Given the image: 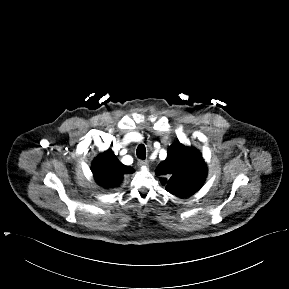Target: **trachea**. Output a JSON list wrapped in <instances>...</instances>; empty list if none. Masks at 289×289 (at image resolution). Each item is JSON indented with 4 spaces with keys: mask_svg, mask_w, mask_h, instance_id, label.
<instances>
[{
    "mask_svg": "<svg viewBox=\"0 0 289 289\" xmlns=\"http://www.w3.org/2000/svg\"><path fill=\"white\" fill-rule=\"evenodd\" d=\"M136 155H137L138 158H140L142 160L146 158V148H145V146L143 144H140L137 147Z\"/></svg>",
    "mask_w": 289,
    "mask_h": 289,
    "instance_id": "1",
    "label": "trachea"
}]
</instances>
